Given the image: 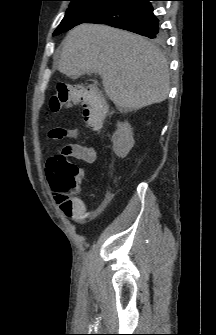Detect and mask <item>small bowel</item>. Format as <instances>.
Listing matches in <instances>:
<instances>
[{
    "instance_id": "1",
    "label": "small bowel",
    "mask_w": 216,
    "mask_h": 335,
    "mask_svg": "<svg viewBox=\"0 0 216 335\" xmlns=\"http://www.w3.org/2000/svg\"><path fill=\"white\" fill-rule=\"evenodd\" d=\"M49 137L54 140H63V139L81 140L82 143H70L65 145L70 149V156L89 164L95 163L97 161L98 154L95 147L86 142V139L82 136V134L77 128H64V127L54 128L49 132ZM50 170H52L51 166L47 165L46 175L48 180ZM52 191L55 197L57 198L56 191H54L53 189ZM57 201L61 205V202L58 200V198ZM75 201H77L80 204V208L79 210H74L69 214V216L74 221L80 222L87 218H96L98 216L99 211L88 212L87 207L81 198H75Z\"/></svg>"
}]
</instances>
